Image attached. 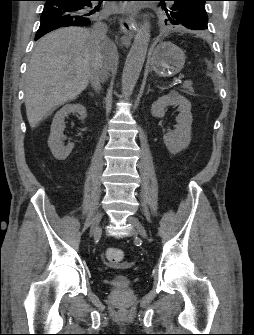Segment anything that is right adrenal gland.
Wrapping results in <instances>:
<instances>
[{
    "mask_svg": "<svg viewBox=\"0 0 254 335\" xmlns=\"http://www.w3.org/2000/svg\"><path fill=\"white\" fill-rule=\"evenodd\" d=\"M90 96H94V93H90Z\"/></svg>",
    "mask_w": 254,
    "mask_h": 335,
    "instance_id": "obj_1",
    "label": "right adrenal gland"
}]
</instances>
